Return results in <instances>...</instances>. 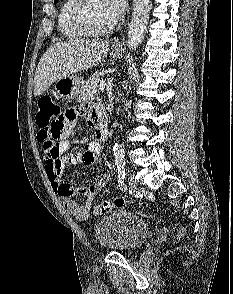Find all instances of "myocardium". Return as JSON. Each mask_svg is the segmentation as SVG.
<instances>
[{
    "label": "myocardium",
    "instance_id": "f54148a6",
    "mask_svg": "<svg viewBox=\"0 0 233 294\" xmlns=\"http://www.w3.org/2000/svg\"><path fill=\"white\" fill-rule=\"evenodd\" d=\"M91 0H76L72 11V20L74 25L85 36L100 37L110 33L119 23L116 19L113 23L102 29H94L87 20V8Z\"/></svg>",
    "mask_w": 233,
    "mask_h": 294
}]
</instances>
